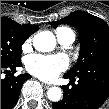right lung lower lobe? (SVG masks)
<instances>
[{"label":"right lung lower lobe","instance_id":"obj_1","mask_svg":"<svg viewBox=\"0 0 109 109\" xmlns=\"http://www.w3.org/2000/svg\"><path fill=\"white\" fill-rule=\"evenodd\" d=\"M22 63L18 62L11 65L1 64V74L6 73L5 78H1V109H12L16 104L23 83L31 78L29 74L19 75L17 77L11 72H16V67L21 66Z\"/></svg>","mask_w":109,"mask_h":109}]
</instances>
